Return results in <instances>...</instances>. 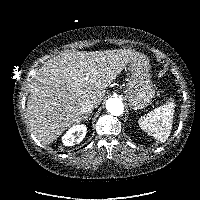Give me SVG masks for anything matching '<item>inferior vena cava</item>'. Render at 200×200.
<instances>
[{
  "instance_id": "1",
  "label": "inferior vena cava",
  "mask_w": 200,
  "mask_h": 200,
  "mask_svg": "<svg viewBox=\"0 0 200 200\" xmlns=\"http://www.w3.org/2000/svg\"><path fill=\"white\" fill-rule=\"evenodd\" d=\"M94 107H95V104H94L93 101L86 100L81 105V112L83 114H88V113H90L94 109Z\"/></svg>"
}]
</instances>
